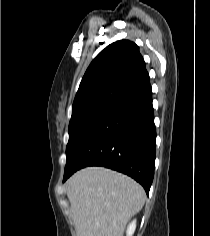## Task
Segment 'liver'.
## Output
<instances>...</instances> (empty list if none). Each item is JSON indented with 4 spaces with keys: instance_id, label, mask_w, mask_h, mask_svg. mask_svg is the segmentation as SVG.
Listing matches in <instances>:
<instances>
[{
    "instance_id": "1",
    "label": "liver",
    "mask_w": 210,
    "mask_h": 236,
    "mask_svg": "<svg viewBox=\"0 0 210 236\" xmlns=\"http://www.w3.org/2000/svg\"><path fill=\"white\" fill-rule=\"evenodd\" d=\"M67 196L77 236H123L146 199L133 179L102 167L84 168L70 177Z\"/></svg>"
}]
</instances>
